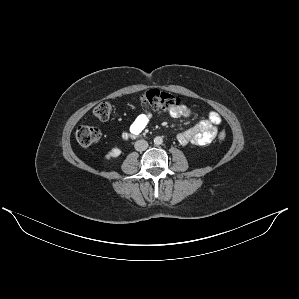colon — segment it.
<instances>
[{"instance_id":"obj_1","label":"colon","mask_w":299,"mask_h":299,"mask_svg":"<svg viewBox=\"0 0 299 299\" xmlns=\"http://www.w3.org/2000/svg\"><path fill=\"white\" fill-rule=\"evenodd\" d=\"M134 103L140 107L149 108L154 111H167L178 106L179 98L166 91L159 89H150L133 99ZM113 112V105L109 101L99 102L93 109V115L101 120H108ZM100 137L99 130L96 127L83 125L76 130V140L82 146H89L95 143ZM219 140L226 138V133L221 131L218 134Z\"/></svg>"}]
</instances>
